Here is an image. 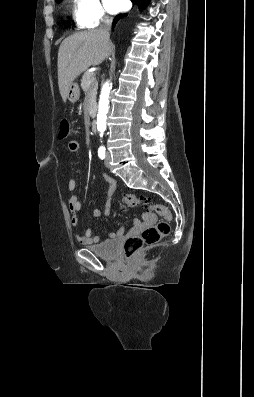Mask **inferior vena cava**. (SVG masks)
<instances>
[{"mask_svg": "<svg viewBox=\"0 0 254 397\" xmlns=\"http://www.w3.org/2000/svg\"><path fill=\"white\" fill-rule=\"evenodd\" d=\"M111 24H112V19L105 17L98 29L101 38L107 43H109V38H110L109 31L111 29Z\"/></svg>", "mask_w": 254, "mask_h": 397, "instance_id": "602c4592", "label": "inferior vena cava"}]
</instances>
